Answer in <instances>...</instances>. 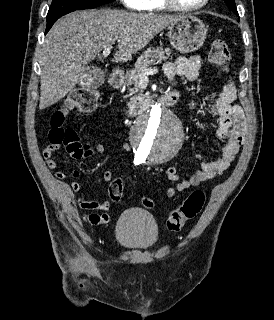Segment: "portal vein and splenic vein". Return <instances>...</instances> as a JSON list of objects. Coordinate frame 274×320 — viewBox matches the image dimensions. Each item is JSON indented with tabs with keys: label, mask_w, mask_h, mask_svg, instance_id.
Here are the masks:
<instances>
[{
	"label": "portal vein and splenic vein",
	"mask_w": 274,
	"mask_h": 320,
	"mask_svg": "<svg viewBox=\"0 0 274 320\" xmlns=\"http://www.w3.org/2000/svg\"><path fill=\"white\" fill-rule=\"evenodd\" d=\"M109 54H111V46L110 48H105V50H103L102 56L103 58H107ZM155 70H157V68H146V70H141L140 78H147V76H149L151 72H155Z\"/></svg>",
	"instance_id": "obj_1"
}]
</instances>
